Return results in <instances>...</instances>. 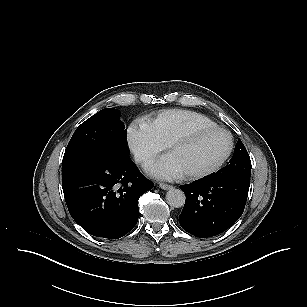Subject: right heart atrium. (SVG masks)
I'll return each instance as SVG.
<instances>
[{
	"instance_id": "right-heart-atrium-1",
	"label": "right heart atrium",
	"mask_w": 307,
	"mask_h": 307,
	"mask_svg": "<svg viewBox=\"0 0 307 307\" xmlns=\"http://www.w3.org/2000/svg\"><path fill=\"white\" fill-rule=\"evenodd\" d=\"M126 139L135 161L142 167L150 166L163 149L144 123L131 124L127 129Z\"/></svg>"
}]
</instances>
